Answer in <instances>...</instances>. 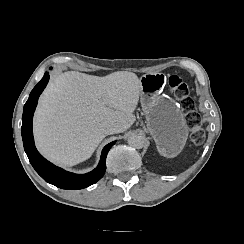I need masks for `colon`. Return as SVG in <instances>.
Segmentation results:
<instances>
[{"instance_id":"5ec220e1","label":"colon","mask_w":244,"mask_h":244,"mask_svg":"<svg viewBox=\"0 0 244 244\" xmlns=\"http://www.w3.org/2000/svg\"><path fill=\"white\" fill-rule=\"evenodd\" d=\"M169 89L174 91L178 100L181 103L183 111L188 117V121L193 125L191 138L195 143H200L204 140V130L200 126L199 115L195 111V101L190 95V87L177 75H172L168 79Z\"/></svg>"}]
</instances>
